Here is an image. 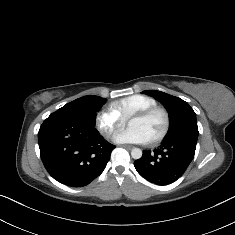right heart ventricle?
<instances>
[{"mask_svg":"<svg viewBox=\"0 0 235 235\" xmlns=\"http://www.w3.org/2000/svg\"><path fill=\"white\" fill-rule=\"evenodd\" d=\"M156 105L152 97L143 94L130 95L111 104L114 111L125 119Z\"/></svg>","mask_w":235,"mask_h":235,"instance_id":"1","label":"right heart ventricle"}]
</instances>
